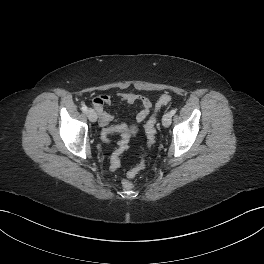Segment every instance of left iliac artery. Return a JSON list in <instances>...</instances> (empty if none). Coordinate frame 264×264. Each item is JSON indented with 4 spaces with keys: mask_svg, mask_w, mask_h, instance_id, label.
Returning <instances> with one entry per match:
<instances>
[{
    "mask_svg": "<svg viewBox=\"0 0 264 264\" xmlns=\"http://www.w3.org/2000/svg\"><path fill=\"white\" fill-rule=\"evenodd\" d=\"M176 113V110L175 109H172L171 111H170V114L173 116L174 114Z\"/></svg>",
    "mask_w": 264,
    "mask_h": 264,
    "instance_id": "1",
    "label": "left iliac artery"
}]
</instances>
